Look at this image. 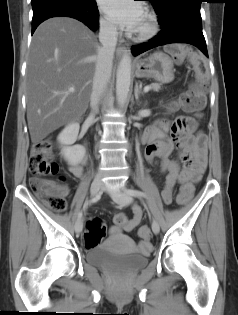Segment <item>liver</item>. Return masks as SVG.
<instances>
[{
    "mask_svg": "<svg viewBox=\"0 0 238 315\" xmlns=\"http://www.w3.org/2000/svg\"><path fill=\"white\" fill-rule=\"evenodd\" d=\"M100 48L95 34L76 19L54 17L36 29L26 70L27 122L34 145L85 113Z\"/></svg>",
    "mask_w": 238,
    "mask_h": 315,
    "instance_id": "obj_1",
    "label": "liver"
}]
</instances>
